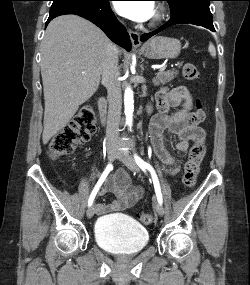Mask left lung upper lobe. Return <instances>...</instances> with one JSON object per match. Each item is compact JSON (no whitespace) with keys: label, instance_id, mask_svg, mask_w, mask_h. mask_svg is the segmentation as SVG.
<instances>
[{"label":"left lung upper lobe","instance_id":"5c2ea615","mask_svg":"<svg viewBox=\"0 0 250 285\" xmlns=\"http://www.w3.org/2000/svg\"><path fill=\"white\" fill-rule=\"evenodd\" d=\"M171 8L170 20H181L189 16L202 15L211 17L209 9L212 0H164Z\"/></svg>","mask_w":250,"mask_h":285}]
</instances>
